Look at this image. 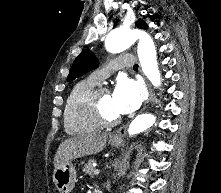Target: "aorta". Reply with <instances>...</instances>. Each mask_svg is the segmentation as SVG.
Returning <instances> with one entry per match:
<instances>
[{
  "instance_id": "762f6f07",
  "label": "aorta",
  "mask_w": 221,
  "mask_h": 193,
  "mask_svg": "<svg viewBox=\"0 0 221 193\" xmlns=\"http://www.w3.org/2000/svg\"><path fill=\"white\" fill-rule=\"evenodd\" d=\"M137 39L138 57L145 76L154 86L161 84L160 72L157 65L156 48L152 38L145 32L128 28H118L111 31L105 41L106 49L111 53H119L129 48ZM156 117L152 114H141L129 125L130 136L147 130L155 123Z\"/></svg>"
}]
</instances>
